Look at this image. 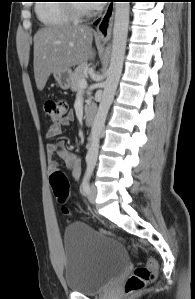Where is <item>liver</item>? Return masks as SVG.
Listing matches in <instances>:
<instances>
[{
    "label": "liver",
    "mask_w": 195,
    "mask_h": 299,
    "mask_svg": "<svg viewBox=\"0 0 195 299\" xmlns=\"http://www.w3.org/2000/svg\"><path fill=\"white\" fill-rule=\"evenodd\" d=\"M34 76L42 91L51 73L93 60V29L63 24L39 29L34 35Z\"/></svg>",
    "instance_id": "1"
}]
</instances>
